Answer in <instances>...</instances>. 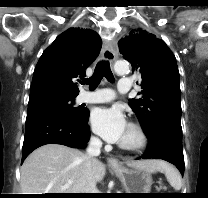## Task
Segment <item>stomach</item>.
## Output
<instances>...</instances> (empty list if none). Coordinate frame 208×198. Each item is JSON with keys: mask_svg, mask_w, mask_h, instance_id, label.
Here are the masks:
<instances>
[{"mask_svg": "<svg viewBox=\"0 0 208 198\" xmlns=\"http://www.w3.org/2000/svg\"><path fill=\"white\" fill-rule=\"evenodd\" d=\"M111 169L120 179L126 193H150L153 181L149 172L124 166L112 167Z\"/></svg>", "mask_w": 208, "mask_h": 198, "instance_id": "obj_1", "label": "stomach"}]
</instances>
